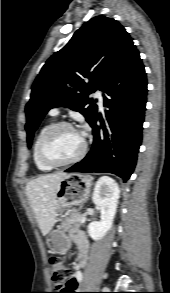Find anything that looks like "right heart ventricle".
Masks as SVG:
<instances>
[{
  "mask_svg": "<svg viewBox=\"0 0 170 293\" xmlns=\"http://www.w3.org/2000/svg\"><path fill=\"white\" fill-rule=\"evenodd\" d=\"M53 125V122H48L46 123L45 125H43L36 138H35V141H34V144H33V159H34V163L36 165V167L40 170V171H43V172H48V171H51L53 169V167H50L48 165H45L44 163H42L38 157V153H37V149H38V144H39V140L41 138V136L43 135V133L51 126Z\"/></svg>",
  "mask_w": 170,
  "mask_h": 293,
  "instance_id": "right-heart-ventricle-1",
  "label": "right heart ventricle"
}]
</instances>
